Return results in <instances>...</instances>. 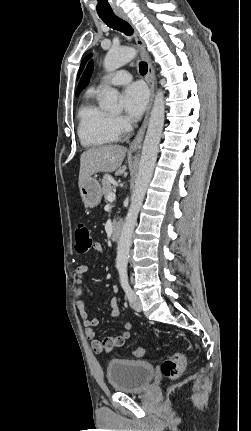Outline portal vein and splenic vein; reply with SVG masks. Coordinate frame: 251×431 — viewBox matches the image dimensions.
Masks as SVG:
<instances>
[{
  "instance_id": "1",
  "label": "portal vein and splenic vein",
  "mask_w": 251,
  "mask_h": 431,
  "mask_svg": "<svg viewBox=\"0 0 251 431\" xmlns=\"http://www.w3.org/2000/svg\"><path fill=\"white\" fill-rule=\"evenodd\" d=\"M115 199H116L115 193L112 192L108 195V201L109 202H113Z\"/></svg>"
}]
</instances>
